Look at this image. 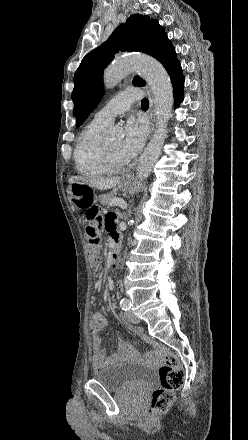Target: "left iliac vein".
Returning a JSON list of instances; mask_svg holds the SVG:
<instances>
[{
	"label": "left iliac vein",
	"mask_w": 248,
	"mask_h": 440,
	"mask_svg": "<svg viewBox=\"0 0 248 440\" xmlns=\"http://www.w3.org/2000/svg\"><path fill=\"white\" fill-rule=\"evenodd\" d=\"M126 319L129 321V322H132V323H138L139 322V319H138V317L134 314V312H132V311H128L127 313H126Z\"/></svg>",
	"instance_id": "obj_1"
}]
</instances>
